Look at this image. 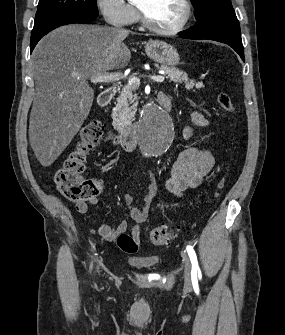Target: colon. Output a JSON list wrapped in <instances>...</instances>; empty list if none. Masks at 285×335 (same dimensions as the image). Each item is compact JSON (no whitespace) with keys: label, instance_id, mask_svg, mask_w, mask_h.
Segmentation results:
<instances>
[{"label":"colon","instance_id":"5ec220e1","mask_svg":"<svg viewBox=\"0 0 285 335\" xmlns=\"http://www.w3.org/2000/svg\"><path fill=\"white\" fill-rule=\"evenodd\" d=\"M217 102L224 111H234V104L227 93H219ZM103 129V125L98 121L89 122L82 127L76 147L54 174V181L61 194L75 203H85L95 198L102 190L99 180L84 178L82 174L86 167L87 154L99 144ZM226 184L227 178L224 177L217 185V193L224 190ZM173 236V231L166 226H158L148 231V240L155 246L168 243ZM117 245L123 252L132 254L137 252L139 243L132 234L124 232L117 237Z\"/></svg>","mask_w":285,"mask_h":335}]
</instances>
